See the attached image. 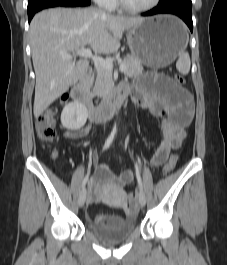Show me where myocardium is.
Instances as JSON below:
<instances>
[{
    "label": "myocardium",
    "mask_w": 227,
    "mask_h": 265,
    "mask_svg": "<svg viewBox=\"0 0 227 265\" xmlns=\"http://www.w3.org/2000/svg\"><path fill=\"white\" fill-rule=\"evenodd\" d=\"M117 2L119 6L126 12L139 14V13H145V12H148L154 9L155 7L158 6V4L160 3V0H153L149 5L144 6V7H132L128 5L125 0H117Z\"/></svg>",
    "instance_id": "f54148a6"
}]
</instances>
